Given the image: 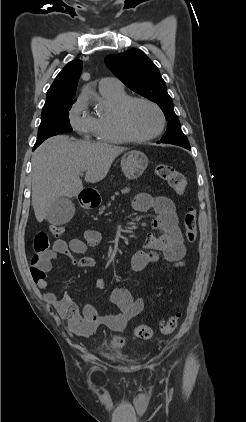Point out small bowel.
Instances as JSON below:
<instances>
[{"mask_svg": "<svg viewBox=\"0 0 246 422\" xmlns=\"http://www.w3.org/2000/svg\"><path fill=\"white\" fill-rule=\"evenodd\" d=\"M134 209L138 212L153 210L155 216L151 220V228L159 234L154 232L147 234L142 249L134 253L131 258L132 269L139 272L163 261L181 262L186 254V247L174 202L165 196L141 193L135 198ZM101 238L100 231L90 229L85 231L83 239L74 238L68 242L62 239L55 240L41 263L45 276L38 280L33 279L36 286L39 289L47 287L46 273L50 270L51 262L56 259L57 255L70 257L78 268L95 266V258L84 254L89 247L97 245ZM75 255L81 256L76 257ZM95 288L99 291L105 290V281L101 278L97 279ZM110 297L119 309L117 314L101 315L91 304H85L80 310L67 293L61 298H58L53 292L43 294V299L52 305L61 317L68 319L72 331L83 336L91 335L99 326H106L117 332L122 331L128 320L139 314L145 307L143 298H134L131 292L124 287L113 288Z\"/></svg>", "mask_w": 246, "mask_h": 422, "instance_id": "obj_1", "label": "small bowel"}]
</instances>
